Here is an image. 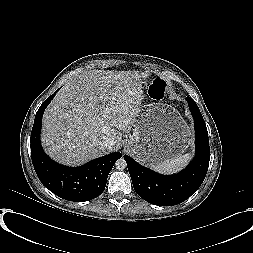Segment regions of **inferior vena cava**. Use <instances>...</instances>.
Instances as JSON below:
<instances>
[{
    "label": "inferior vena cava",
    "mask_w": 253,
    "mask_h": 253,
    "mask_svg": "<svg viewBox=\"0 0 253 253\" xmlns=\"http://www.w3.org/2000/svg\"><path fill=\"white\" fill-rule=\"evenodd\" d=\"M114 144V140L111 138H105V140L102 142V146L105 148H108L109 146Z\"/></svg>",
    "instance_id": "1"
}]
</instances>
